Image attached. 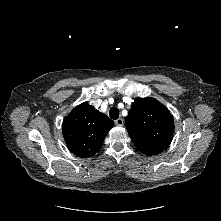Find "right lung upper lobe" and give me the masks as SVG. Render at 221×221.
Here are the masks:
<instances>
[{"label": "right lung upper lobe", "instance_id": "cb5924a9", "mask_svg": "<svg viewBox=\"0 0 221 221\" xmlns=\"http://www.w3.org/2000/svg\"><path fill=\"white\" fill-rule=\"evenodd\" d=\"M114 122L87 102L78 105L66 116L62 133L68 149L78 157L94 156Z\"/></svg>", "mask_w": 221, "mask_h": 221}]
</instances>
